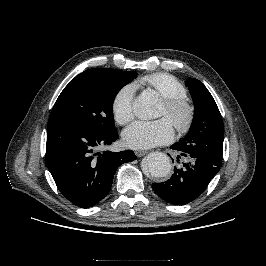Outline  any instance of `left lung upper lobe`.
<instances>
[{"instance_id":"5c2ea615","label":"left lung upper lobe","mask_w":266,"mask_h":266,"mask_svg":"<svg viewBox=\"0 0 266 266\" xmlns=\"http://www.w3.org/2000/svg\"><path fill=\"white\" fill-rule=\"evenodd\" d=\"M195 112L188 135L175 144L178 150L222 164L224 125L220 111L207 88L197 79L188 78Z\"/></svg>"}]
</instances>
